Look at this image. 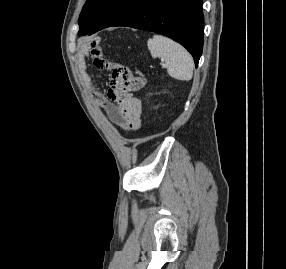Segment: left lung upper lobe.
Returning <instances> with one entry per match:
<instances>
[{
	"mask_svg": "<svg viewBox=\"0 0 286 269\" xmlns=\"http://www.w3.org/2000/svg\"><path fill=\"white\" fill-rule=\"evenodd\" d=\"M143 0H87L79 17L78 35H91L115 23Z\"/></svg>",
	"mask_w": 286,
	"mask_h": 269,
	"instance_id": "obj_1",
	"label": "left lung upper lobe"
}]
</instances>
